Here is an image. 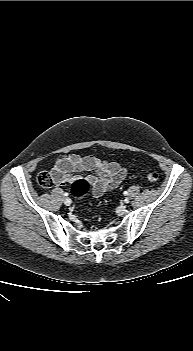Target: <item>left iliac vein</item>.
<instances>
[{
  "instance_id": "4c4485c4",
  "label": "left iliac vein",
  "mask_w": 193,
  "mask_h": 351,
  "mask_svg": "<svg viewBox=\"0 0 193 351\" xmlns=\"http://www.w3.org/2000/svg\"><path fill=\"white\" fill-rule=\"evenodd\" d=\"M124 202H125V203H129V199L126 198V199L124 200Z\"/></svg>"
}]
</instances>
